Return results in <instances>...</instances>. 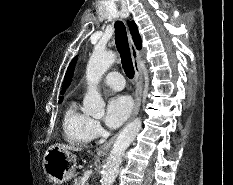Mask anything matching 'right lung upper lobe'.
<instances>
[{
  "label": "right lung upper lobe",
  "instance_id": "cb5924a9",
  "mask_svg": "<svg viewBox=\"0 0 233 185\" xmlns=\"http://www.w3.org/2000/svg\"><path fill=\"white\" fill-rule=\"evenodd\" d=\"M128 25H129L130 32H131V35L133 37L134 43L136 45V48L138 50H140L141 49V38H140V35L138 33L137 26H136L134 21L128 22ZM75 61H76V59H74L71 62V64L68 67V70L66 72L65 79H64L65 87L63 88V90L61 92L62 94L65 92L66 87L70 84V81H71V78L73 75V67H74ZM62 99H63V97H60L59 102L62 101Z\"/></svg>",
  "mask_w": 233,
  "mask_h": 185
}]
</instances>
